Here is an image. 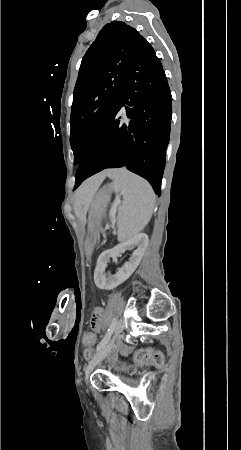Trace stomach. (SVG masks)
<instances>
[{"mask_svg":"<svg viewBox=\"0 0 241 450\" xmlns=\"http://www.w3.org/2000/svg\"><path fill=\"white\" fill-rule=\"evenodd\" d=\"M109 201H110V193L106 189L99 192L93 200L91 206V221L89 227L90 232L94 235L97 234L98 232L102 216L105 213ZM94 246L95 242L87 237L85 241V251L88 257L91 256Z\"/></svg>","mask_w":241,"mask_h":450,"instance_id":"obj_1","label":"stomach"}]
</instances>
